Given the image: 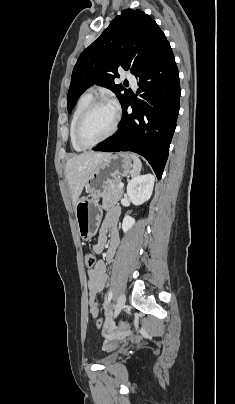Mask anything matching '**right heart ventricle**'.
<instances>
[{"mask_svg":"<svg viewBox=\"0 0 235 404\" xmlns=\"http://www.w3.org/2000/svg\"><path fill=\"white\" fill-rule=\"evenodd\" d=\"M93 100V95L89 92L84 93L77 101L76 106L73 110L70 124H69V138L72 147L76 151H83L85 150L84 147L80 146L76 139H75V128H76V123L77 120L82 113V111L87 107V105Z\"/></svg>","mask_w":235,"mask_h":404,"instance_id":"1","label":"right heart ventricle"}]
</instances>
